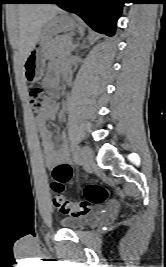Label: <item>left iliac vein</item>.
<instances>
[{
	"mask_svg": "<svg viewBox=\"0 0 166 267\" xmlns=\"http://www.w3.org/2000/svg\"><path fill=\"white\" fill-rule=\"evenodd\" d=\"M79 153L82 159L83 164L87 168H91L94 164V155L91 149L88 146H82L79 148Z\"/></svg>",
	"mask_w": 166,
	"mask_h": 267,
	"instance_id": "obj_1",
	"label": "left iliac vein"
}]
</instances>
